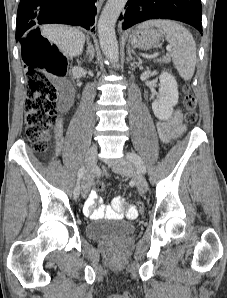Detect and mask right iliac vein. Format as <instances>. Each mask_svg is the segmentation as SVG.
<instances>
[{
    "label": "right iliac vein",
    "instance_id": "63e3f726",
    "mask_svg": "<svg viewBox=\"0 0 227 298\" xmlns=\"http://www.w3.org/2000/svg\"><path fill=\"white\" fill-rule=\"evenodd\" d=\"M96 155H97V146L92 145L85 156V167H86V177H85V182H84V190H83V196H87L92 178H93V173H94V166L96 163Z\"/></svg>",
    "mask_w": 227,
    "mask_h": 298
}]
</instances>
